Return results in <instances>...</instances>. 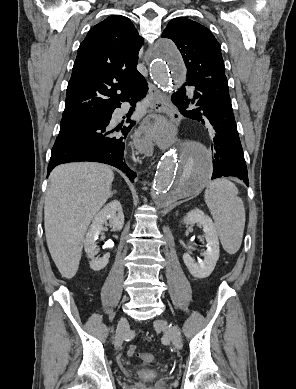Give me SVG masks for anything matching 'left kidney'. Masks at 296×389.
Returning <instances> with one entry per match:
<instances>
[{
  "label": "left kidney",
  "mask_w": 296,
  "mask_h": 389,
  "mask_svg": "<svg viewBox=\"0 0 296 389\" xmlns=\"http://www.w3.org/2000/svg\"><path fill=\"white\" fill-rule=\"evenodd\" d=\"M186 225L198 224L203 227L207 250L203 253L204 260L196 262L189 253L183 255V261L192 276L202 279L208 277L214 270L219 259L218 235L209 216H206L200 209H194L183 218Z\"/></svg>",
  "instance_id": "left-kidney-1"
}]
</instances>
